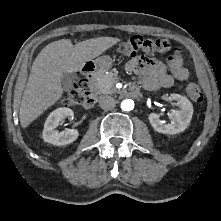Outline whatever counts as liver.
Here are the masks:
<instances>
[{
	"mask_svg": "<svg viewBox=\"0 0 221 221\" xmlns=\"http://www.w3.org/2000/svg\"><path fill=\"white\" fill-rule=\"evenodd\" d=\"M118 41L114 37H98L73 45L69 39H61L45 46L33 62L22 96L21 126L26 128L61 98L63 73L80 71L87 61L98 57Z\"/></svg>",
	"mask_w": 221,
	"mask_h": 221,
	"instance_id": "obj_1",
	"label": "liver"
}]
</instances>
